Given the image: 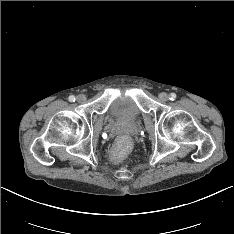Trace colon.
Instances as JSON below:
<instances>
[{"label": "colon", "instance_id": "colon-1", "mask_svg": "<svg viewBox=\"0 0 234 234\" xmlns=\"http://www.w3.org/2000/svg\"><path fill=\"white\" fill-rule=\"evenodd\" d=\"M132 149L133 144L129 139L124 137L120 138L114 143L113 149L109 153V158L113 163L122 165L127 161L128 154L132 151Z\"/></svg>", "mask_w": 234, "mask_h": 234}]
</instances>
